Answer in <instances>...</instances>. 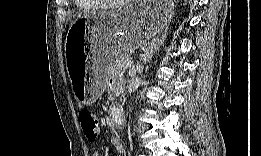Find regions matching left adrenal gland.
Segmentation results:
<instances>
[{
  "instance_id": "left-adrenal-gland-1",
  "label": "left adrenal gland",
  "mask_w": 261,
  "mask_h": 156,
  "mask_svg": "<svg viewBox=\"0 0 261 156\" xmlns=\"http://www.w3.org/2000/svg\"><path fill=\"white\" fill-rule=\"evenodd\" d=\"M164 37L153 39L150 45L144 50L143 54L141 55V60L146 63L149 62L152 58L153 54L158 51L159 46L162 44Z\"/></svg>"
}]
</instances>
